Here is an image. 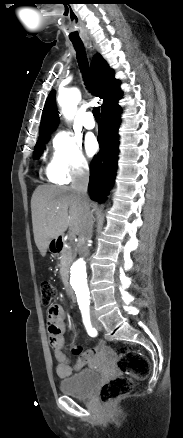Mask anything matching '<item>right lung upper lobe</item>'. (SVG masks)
I'll use <instances>...</instances> for the list:
<instances>
[{"label":"right lung upper lobe","mask_w":183,"mask_h":438,"mask_svg":"<svg viewBox=\"0 0 183 438\" xmlns=\"http://www.w3.org/2000/svg\"><path fill=\"white\" fill-rule=\"evenodd\" d=\"M93 93L103 99L101 111L116 103L122 96L120 81L114 78V72L100 54H96L91 62ZM58 124V112L55 103V91H51L46 100L39 137L51 134Z\"/></svg>","instance_id":"obj_1"}]
</instances>
